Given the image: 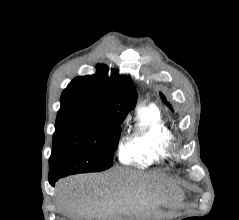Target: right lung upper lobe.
<instances>
[{
    "label": "right lung upper lobe",
    "instance_id": "right-lung-upper-lobe-1",
    "mask_svg": "<svg viewBox=\"0 0 239 220\" xmlns=\"http://www.w3.org/2000/svg\"><path fill=\"white\" fill-rule=\"evenodd\" d=\"M94 75L74 78L61 96L57 120L125 119L135 107L137 93L129 76H108L106 65Z\"/></svg>",
    "mask_w": 239,
    "mask_h": 220
}]
</instances>
